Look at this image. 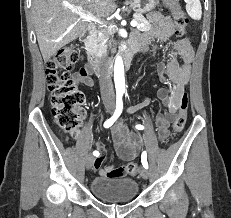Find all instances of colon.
Instances as JSON below:
<instances>
[{"label":"colon","instance_id":"colon-1","mask_svg":"<svg viewBox=\"0 0 231 218\" xmlns=\"http://www.w3.org/2000/svg\"><path fill=\"white\" fill-rule=\"evenodd\" d=\"M166 6L172 11L176 35H185L188 18L180 9L177 0H165ZM81 60V55L72 46L61 48L46 62V79L52 103V116L62 134L76 138L79 135L82 117V105L85 101L83 92L77 87L70 70ZM188 93L183 91L178 113L173 123V133H181L185 127L188 114ZM137 163H129L127 172L135 176L139 173Z\"/></svg>","mask_w":231,"mask_h":218}]
</instances>
